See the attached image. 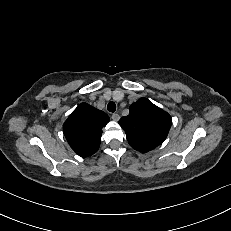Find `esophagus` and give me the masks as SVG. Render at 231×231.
Wrapping results in <instances>:
<instances>
[{
	"mask_svg": "<svg viewBox=\"0 0 231 231\" xmlns=\"http://www.w3.org/2000/svg\"><path fill=\"white\" fill-rule=\"evenodd\" d=\"M111 118H112V120H114V121H118V120L120 119V116H119L118 113H113V114L111 115Z\"/></svg>",
	"mask_w": 231,
	"mask_h": 231,
	"instance_id": "34e87169",
	"label": "esophagus"
}]
</instances>
